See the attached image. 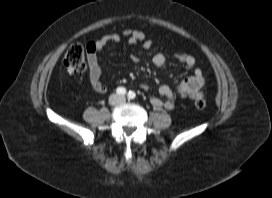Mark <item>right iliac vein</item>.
I'll return each mask as SVG.
<instances>
[{
    "label": "right iliac vein",
    "mask_w": 272,
    "mask_h": 198,
    "mask_svg": "<svg viewBox=\"0 0 272 198\" xmlns=\"http://www.w3.org/2000/svg\"><path fill=\"white\" fill-rule=\"evenodd\" d=\"M111 100H112V102H118L119 99L117 96H113V98Z\"/></svg>",
    "instance_id": "right-iliac-vein-1"
}]
</instances>
